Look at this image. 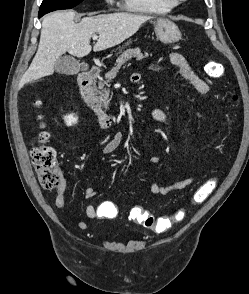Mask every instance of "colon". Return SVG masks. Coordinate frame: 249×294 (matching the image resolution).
Masks as SVG:
<instances>
[{"instance_id":"1","label":"colon","mask_w":249,"mask_h":294,"mask_svg":"<svg viewBox=\"0 0 249 294\" xmlns=\"http://www.w3.org/2000/svg\"><path fill=\"white\" fill-rule=\"evenodd\" d=\"M206 74L212 78L223 76V68L216 62L210 61L204 65ZM234 100L236 97L234 96ZM40 102H36L39 106ZM49 135L45 131H40L34 139L35 146L31 151L32 162L39 183L46 189H57L64 185L65 178L63 173L56 164V152L47 144ZM217 179L210 178L206 180L193 194L192 203L199 204L208 198L217 186ZM110 214L115 216L116 211L111 209ZM185 210L179 209L170 216L155 217L143 208L136 206L130 211V218L134 222L145 228L152 229L156 232H164L174 224L183 220Z\"/></svg>"}]
</instances>
